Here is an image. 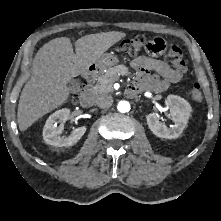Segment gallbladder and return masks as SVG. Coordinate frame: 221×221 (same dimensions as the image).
Instances as JSON below:
<instances>
[{"label":"gallbladder","mask_w":221,"mask_h":221,"mask_svg":"<svg viewBox=\"0 0 221 221\" xmlns=\"http://www.w3.org/2000/svg\"><path fill=\"white\" fill-rule=\"evenodd\" d=\"M78 87V81L75 79H72L69 83H68V88L70 90L75 89Z\"/></svg>","instance_id":"obj_1"}]
</instances>
